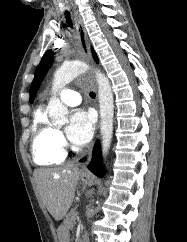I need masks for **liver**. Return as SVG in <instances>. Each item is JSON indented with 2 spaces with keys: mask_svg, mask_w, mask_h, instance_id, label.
I'll return each instance as SVG.
<instances>
[{
  "mask_svg": "<svg viewBox=\"0 0 187 242\" xmlns=\"http://www.w3.org/2000/svg\"><path fill=\"white\" fill-rule=\"evenodd\" d=\"M79 174V168L74 164L63 168H41L34 171L41 199L57 221L63 219L71 207Z\"/></svg>",
  "mask_w": 187,
  "mask_h": 242,
  "instance_id": "liver-1",
  "label": "liver"
}]
</instances>
